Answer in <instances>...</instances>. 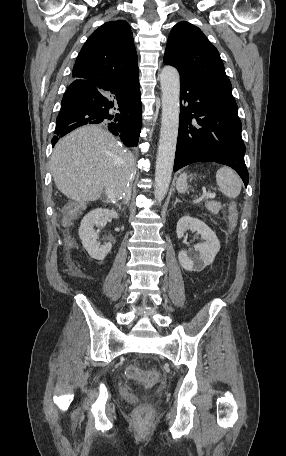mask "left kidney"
<instances>
[{"label":"left kidney","instance_id":"left-kidney-1","mask_svg":"<svg viewBox=\"0 0 286 456\" xmlns=\"http://www.w3.org/2000/svg\"><path fill=\"white\" fill-rule=\"evenodd\" d=\"M189 229L200 234L205 242L194 246L200 254L197 259L190 258L187 251L181 250L178 254L179 263L187 271H201L213 262L220 250V242L216 234L203 221L190 216L179 219L176 227L177 237L182 238Z\"/></svg>","mask_w":286,"mask_h":456}]
</instances>
